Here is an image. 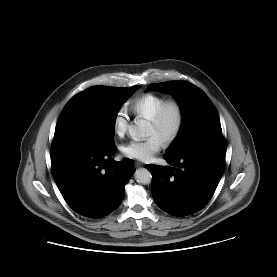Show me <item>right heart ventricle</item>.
<instances>
[{
  "label": "right heart ventricle",
  "instance_id": "e07e8e85",
  "mask_svg": "<svg viewBox=\"0 0 277 277\" xmlns=\"http://www.w3.org/2000/svg\"><path fill=\"white\" fill-rule=\"evenodd\" d=\"M166 100L163 95L145 93L131 100L129 107L135 116L150 120Z\"/></svg>",
  "mask_w": 277,
  "mask_h": 277
}]
</instances>
